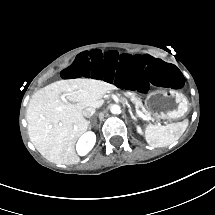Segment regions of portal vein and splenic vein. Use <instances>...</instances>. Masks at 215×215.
<instances>
[{"label": "portal vein and splenic vein", "instance_id": "1", "mask_svg": "<svg viewBox=\"0 0 215 215\" xmlns=\"http://www.w3.org/2000/svg\"><path fill=\"white\" fill-rule=\"evenodd\" d=\"M65 94H63L62 96H61V99H62V101H64V102H66L67 100H66V98H65ZM136 112H137V114L139 115V117H141L143 120H147V116L144 114V113H142L140 110H136Z\"/></svg>", "mask_w": 215, "mask_h": 215}]
</instances>
